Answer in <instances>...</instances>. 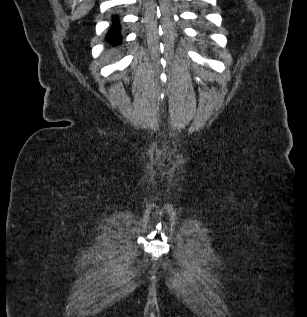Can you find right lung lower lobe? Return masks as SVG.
Returning <instances> with one entry per match:
<instances>
[{"label": "right lung lower lobe", "instance_id": "obj_1", "mask_svg": "<svg viewBox=\"0 0 307 317\" xmlns=\"http://www.w3.org/2000/svg\"><path fill=\"white\" fill-rule=\"evenodd\" d=\"M112 26L109 29L108 33H107V41H109L110 43H112L113 45L116 44H120L122 41L121 35H120V24H119V20L118 17H113L112 19Z\"/></svg>", "mask_w": 307, "mask_h": 317}]
</instances>
